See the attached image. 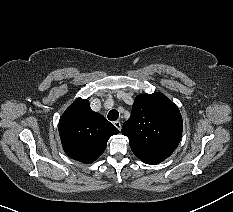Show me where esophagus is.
Returning a JSON list of instances; mask_svg holds the SVG:
<instances>
[{
	"mask_svg": "<svg viewBox=\"0 0 233 212\" xmlns=\"http://www.w3.org/2000/svg\"><path fill=\"white\" fill-rule=\"evenodd\" d=\"M113 125L120 131L121 130V123L120 121L113 122Z\"/></svg>",
	"mask_w": 233,
	"mask_h": 212,
	"instance_id": "obj_1",
	"label": "esophagus"
}]
</instances>
